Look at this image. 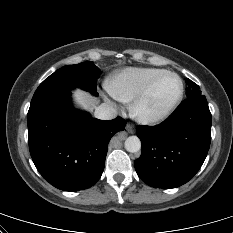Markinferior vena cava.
Here are the masks:
<instances>
[{"label":"inferior vena cava","mask_w":233,"mask_h":233,"mask_svg":"<svg viewBox=\"0 0 233 233\" xmlns=\"http://www.w3.org/2000/svg\"><path fill=\"white\" fill-rule=\"evenodd\" d=\"M94 116L101 120H111L117 116V111L111 105L103 103L96 107Z\"/></svg>","instance_id":"1"}]
</instances>
